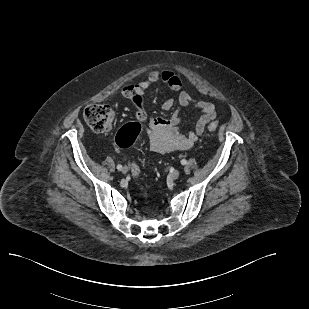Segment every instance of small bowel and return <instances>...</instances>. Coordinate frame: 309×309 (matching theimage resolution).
Segmentation results:
<instances>
[{
	"mask_svg": "<svg viewBox=\"0 0 309 309\" xmlns=\"http://www.w3.org/2000/svg\"><path fill=\"white\" fill-rule=\"evenodd\" d=\"M160 81L172 91H179L178 109L170 118L159 116L149 118L144 108L143 95L148 88ZM182 85L181 77L172 70H152L144 80L127 84L120 90V95L129 99L136 107L137 120L149 122L151 147L156 152L169 153L191 148L204 133L206 126L216 118V110L212 103L196 100L189 92L181 91ZM174 104L173 98H167L162 102V109L168 111L173 108ZM190 104L201 112V116L194 124V129L185 133L180 127L181 111Z\"/></svg>",
	"mask_w": 309,
	"mask_h": 309,
	"instance_id": "obj_1",
	"label": "small bowel"
}]
</instances>
